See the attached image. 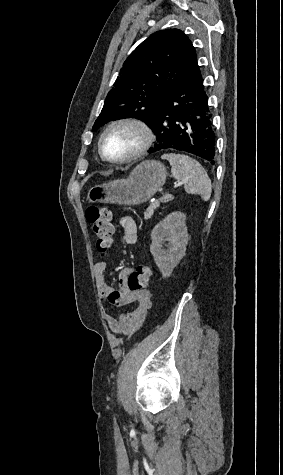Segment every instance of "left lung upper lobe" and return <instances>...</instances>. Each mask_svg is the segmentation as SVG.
Listing matches in <instances>:
<instances>
[{"mask_svg": "<svg viewBox=\"0 0 283 475\" xmlns=\"http://www.w3.org/2000/svg\"><path fill=\"white\" fill-rule=\"evenodd\" d=\"M198 68L195 48L181 30L152 34L124 62L93 130L111 120L129 117L149 126L170 89Z\"/></svg>", "mask_w": 283, "mask_h": 475, "instance_id": "1", "label": "left lung upper lobe"}]
</instances>
